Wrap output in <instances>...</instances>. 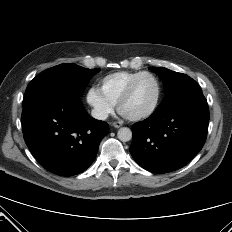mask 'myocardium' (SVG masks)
Instances as JSON below:
<instances>
[{"instance_id": "obj_1", "label": "myocardium", "mask_w": 232, "mask_h": 232, "mask_svg": "<svg viewBox=\"0 0 232 232\" xmlns=\"http://www.w3.org/2000/svg\"><path fill=\"white\" fill-rule=\"evenodd\" d=\"M143 76H149L155 81V83L157 85L156 99H155L153 105L147 111H145L141 114H138V115H132V116L125 115L122 112V106L131 97L137 81ZM161 98H162V85H161L160 80L153 73L148 72V71H143V72H140L137 76H135L130 81V83L128 84L124 93L121 95L119 101L117 102V107H118L119 112L122 113L127 119L132 120V121H139V120L146 119V118L150 117L152 114H154V112L157 110V108L160 104Z\"/></svg>"}]
</instances>
